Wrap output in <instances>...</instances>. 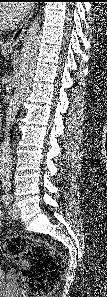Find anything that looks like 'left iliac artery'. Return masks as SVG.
Instances as JSON below:
<instances>
[{
	"label": "left iliac artery",
	"instance_id": "44dca946",
	"mask_svg": "<svg viewBox=\"0 0 107 297\" xmlns=\"http://www.w3.org/2000/svg\"><path fill=\"white\" fill-rule=\"evenodd\" d=\"M12 198H13L12 195L9 194L7 187H6L5 194L2 197V202L5 203L6 205H8L10 202H12Z\"/></svg>",
	"mask_w": 107,
	"mask_h": 297
}]
</instances>
